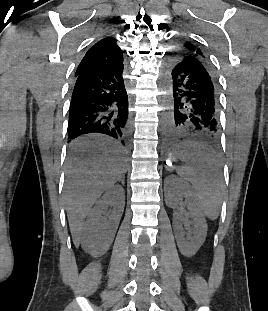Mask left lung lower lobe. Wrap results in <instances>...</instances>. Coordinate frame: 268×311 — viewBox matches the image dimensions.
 Masks as SVG:
<instances>
[{
  "label": "left lung lower lobe",
  "mask_w": 268,
  "mask_h": 311,
  "mask_svg": "<svg viewBox=\"0 0 268 311\" xmlns=\"http://www.w3.org/2000/svg\"><path fill=\"white\" fill-rule=\"evenodd\" d=\"M179 53L166 61V80L174 98V110L166 121V139L215 143L221 132L216 74L209 61L182 60Z\"/></svg>",
  "instance_id": "0a47b994"
}]
</instances>
